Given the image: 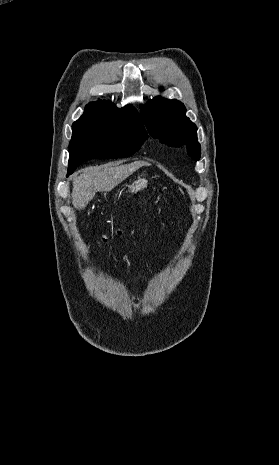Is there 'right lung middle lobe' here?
<instances>
[{
  "label": "right lung middle lobe",
  "instance_id": "dd1d6c3e",
  "mask_svg": "<svg viewBox=\"0 0 279 465\" xmlns=\"http://www.w3.org/2000/svg\"><path fill=\"white\" fill-rule=\"evenodd\" d=\"M147 135L137 126L103 124L73 130L69 143L68 172L90 159L129 157L139 150Z\"/></svg>",
  "mask_w": 279,
  "mask_h": 465
}]
</instances>
